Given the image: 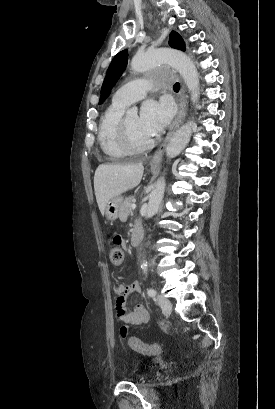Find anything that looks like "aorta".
I'll return each mask as SVG.
<instances>
[{
    "instance_id": "aorta-1",
    "label": "aorta",
    "mask_w": 275,
    "mask_h": 409,
    "mask_svg": "<svg viewBox=\"0 0 275 409\" xmlns=\"http://www.w3.org/2000/svg\"><path fill=\"white\" fill-rule=\"evenodd\" d=\"M130 58L131 70H134V72H144V70H147L148 65H160L161 62H167V64H170V66H173V68L180 72L187 88H189L192 102H197L200 94L199 74L193 60L185 52L172 50V48H158V51H131ZM137 112V108H128L126 116H138ZM193 126V122H186V124H182L174 132L166 146L168 158L177 156L187 146L193 132ZM164 190L165 180L164 176H161V178H158L155 188L150 194L146 211L148 219L157 213L164 196ZM141 269L143 273H147L148 265L145 261H143Z\"/></svg>"
}]
</instances>
